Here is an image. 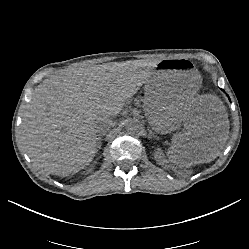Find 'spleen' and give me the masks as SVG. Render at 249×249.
I'll return each mask as SVG.
<instances>
[{"instance_id":"3e777b00","label":"spleen","mask_w":249,"mask_h":249,"mask_svg":"<svg viewBox=\"0 0 249 249\" xmlns=\"http://www.w3.org/2000/svg\"><path fill=\"white\" fill-rule=\"evenodd\" d=\"M169 152H173V149H172V150H169L168 153H169ZM169 158H171V156H169ZM172 159H175V158H172Z\"/></svg>"}]
</instances>
